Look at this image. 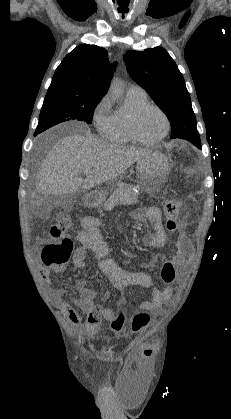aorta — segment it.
I'll return each mask as SVG.
<instances>
[{
	"mask_svg": "<svg viewBox=\"0 0 231 419\" xmlns=\"http://www.w3.org/2000/svg\"><path fill=\"white\" fill-rule=\"evenodd\" d=\"M110 91H111L114 95H116V96H120V95H121V93H122V89H121L120 84H119L118 82L114 81V82L111 84Z\"/></svg>",
	"mask_w": 231,
	"mask_h": 419,
	"instance_id": "obj_1",
	"label": "aorta"
}]
</instances>
